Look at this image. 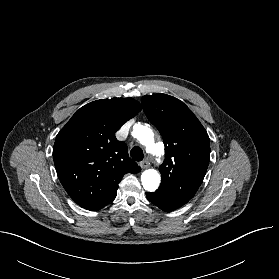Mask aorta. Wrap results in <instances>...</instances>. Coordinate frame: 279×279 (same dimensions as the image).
Returning <instances> with one entry per match:
<instances>
[{"label":"aorta","instance_id":"aorta-1","mask_svg":"<svg viewBox=\"0 0 279 279\" xmlns=\"http://www.w3.org/2000/svg\"><path fill=\"white\" fill-rule=\"evenodd\" d=\"M134 134L150 153H156L160 150L158 144L155 143L154 134L150 128L139 125ZM141 182L145 190L153 192L159 187L161 176L156 170L149 169L142 173Z\"/></svg>","mask_w":279,"mask_h":279}]
</instances>
